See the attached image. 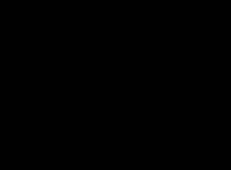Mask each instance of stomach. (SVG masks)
I'll use <instances>...</instances> for the list:
<instances>
[{
	"instance_id": "obj_1",
	"label": "stomach",
	"mask_w": 231,
	"mask_h": 170,
	"mask_svg": "<svg viewBox=\"0 0 231 170\" xmlns=\"http://www.w3.org/2000/svg\"><path fill=\"white\" fill-rule=\"evenodd\" d=\"M127 41L139 66L145 70L147 75H155L162 71L154 44L144 36L138 26H134L127 32Z\"/></svg>"
}]
</instances>
